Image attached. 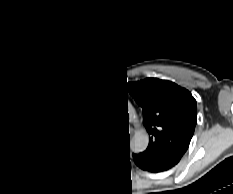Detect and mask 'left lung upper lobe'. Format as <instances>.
<instances>
[{
	"instance_id": "obj_1",
	"label": "left lung upper lobe",
	"mask_w": 233,
	"mask_h": 194,
	"mask_svg": "<svg viewBox=\"0 0 233 194\" xmlns=\"http://www.w3.org/2000/svg\"><path fill=\"white\" fill-rule=\"evenodd\" d=\"M127 87L142 107L143 124L151 135L144 152L180 159L189 146L197 121V105L192 94L173 82L157 78Z\"/></svg>"
}]
</instances>
